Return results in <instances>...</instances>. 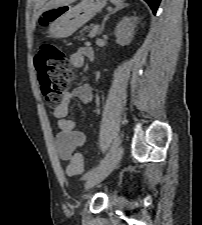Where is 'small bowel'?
<instances>
[{
    "label": "small bowel",
    "instance_id": "obj_1",
    "mask_svg": "<svg viewBox=\"0 0 202 225\" xmlns=\"http://www.w3.org/2000/svg\"><path fill=\"white\" fill-rule=\"evenodd\" d=\"M91 56H93V50L86 45L78 48L69 60L72 66L80 68L83 66L85 59L91 58ZM73 98L84 103L91 102L90 88L84 85L66 93L61 103L53 108L52 114L57 120L59 128V133L55 138V149L57 156L62 160L70 163L72 160L78 159L81 167L77 174H80L83 171V160L78 150L84 145L86 137L78 130L76 121L68 117L69 105Z\"/></svg>",
    "mask_w": 202,
    "mask_h": 225
}]
</instances>
